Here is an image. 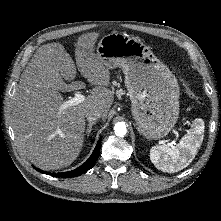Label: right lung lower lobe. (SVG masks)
I'll list each match as a JSON object with an SVG mask.
<instances>
[{
	"label": "right lung lower lobe",
	"mask_w": 221,
	"mask_h": 221,
	"mask_svg": "<svg viewBox=\"0 0 221 221\" xmlns=\"http://www.w3.org/2000/svg\"><path fill=\"white\" fill-rule=\"evenodd\" d=\"M101 139H102V137L99 139V141H98L93 153L89 157V159L84 164H82L80 167H78L74 170H71L68 172H61V173H50V172L42 171L38 168H36V169L41 173H45V174H48V175H51L54 177L71 178V177L80 176L83 173L87 172L89 169H91L95 165V162L97 161V159L99 157V153H100Z\"/></svg>",
	"instance_id": "right-lung-lower-lobe-1"
}]
</instances>
